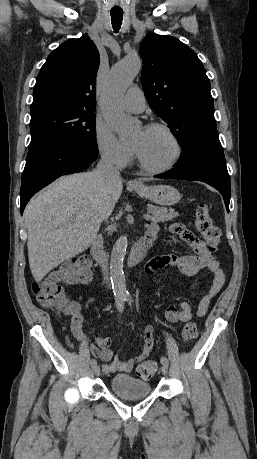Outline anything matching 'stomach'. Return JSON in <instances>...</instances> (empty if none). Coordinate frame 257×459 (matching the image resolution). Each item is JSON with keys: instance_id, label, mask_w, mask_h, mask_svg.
Wrapping results in <instances>:
<instances>
[{"instance_id": "0dacf381", "label": "stomach", "mask_w": 257, "mask_h": 459, "mask_svg": "<svg viewBox=\"0 0 257 459\" xmlns=\"http://www.w3.org/2000/svg\"><path fill=\"white\" fill-rule=\"evenodd\" d=\"M134 189L139 196L162 206H171L178 203L180 200V193L178 190L169 185H141L135 186Z\"/></svg>"}]
</instances>
